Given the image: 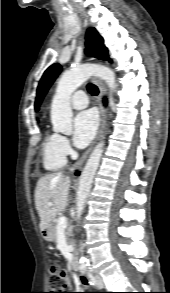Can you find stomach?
Here are the masks:
<instances>
[{
  "mask_svg": "<svg viewBox=\"0 0 170 293\" xmlns=\"http://www.w3.org/2000/svg\"><path fill=\"white\" fill-rule=\"evenodd\" d=\"M45 238H46L47 240H52V233H51L50 227H49L48 230L46 231Z\"/></svg>",
  "mask_w": 170,
  "mask_h": 293,
  "instance_id": "stomach-1",
  "label": "stomach"
}]
</instances>
